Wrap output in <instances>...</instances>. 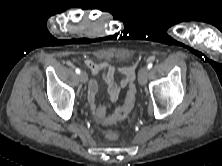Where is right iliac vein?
Returning a JSON list of instances; mask_svg holds the SVG:
<instances>
[{
    "label": "right iliac vein",
    "instance_id": "obj_1",
    "mask_svg": "<svg viewBox=\"0 0 222 166\" xmlns=\"http://www.w3.org/2000/svg\"><path fill=\"white\" fill-rule=\"evenodd\" d=\"M79 79L82 83H86L88 80V76H87L86 72H81L79 74Z\"/></svg>",
    "mask_w": 222,
    "mask_h": 166
}]
</instances>
